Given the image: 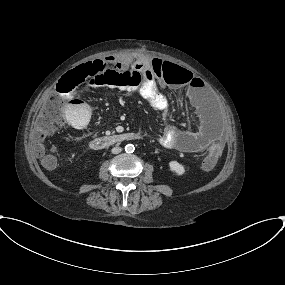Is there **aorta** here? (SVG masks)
I'll return each instance as SVG.
<instances>
[{
    "label": "aorta",
    "instance_id": "762f6f07",
    "mask_svg": "<svg viewBox=\"0 0 285 285\" xmlns=\"http://www.w3.org/2000/svg\"><path fill=\"white\" fill-rule=\"evenodd\" d=\"M134 150H135V147H134L133 144H127V145L125 146V151H126L127 153H133Z\"/></svg>",
    "mask_w": 285,
    "mask_h": 285
}]
</instances>
